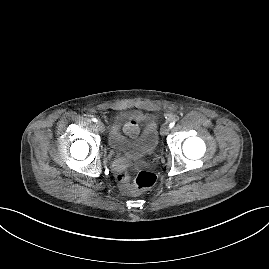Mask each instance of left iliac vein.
Segmentation results:
<instances>
[{
    "instance_id": "left-iliac-vein-1",
    "label": "left iliac vein",
    "mask_w": 269,
    "mask_h": 269,
    "mask_svg": "<svg viewBox=\"0 0 269 269\" xmlns=\"http://www.w3.org/2000/svg\"><path fill=\"white\" fill-rule=\"evenodd\" d=\"M169 129L170 128L167 125H163L162 128H161V132H160L161 135L166 136L168 134V132H169Z\"/></svg>"
}]
</instances>
